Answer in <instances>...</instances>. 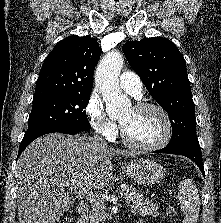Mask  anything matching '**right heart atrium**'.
I'll return each mask as SVG.
<instances>
[{
	"instance_id": "1",
	"label": "right heart atrium",
	"mask_w": 221,
	"mask_h": 223,
	"mask_svg": "<svg viewBox=\"0 0 221 223\" xmlns=\"http://www.w3.org/2000/svg\"><path fill=\"white\" fill-rule=\"evenodd\" d=\"M87 119L94 131L107 139L114 138L118 132V127L114 121L109 119L105 114L102 101L91 95L85 106Z\"/></svg>"
}]
</instances>
